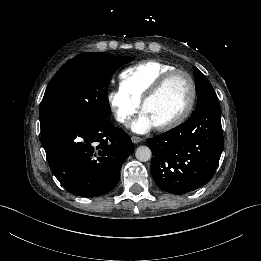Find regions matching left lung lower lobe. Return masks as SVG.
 <instances>
[{
	"label": "left lung lower lobe",
	"mask_w": 261,
	"mask_h": 261,
	"mask_svg": "<svg viewBox=\"0 0 261 261\" xmlns=\"http://www.w3.org/2000/svg\"><path fill=\"white\" fill-rule=\"evenodd\" d=\"M154 149L151 173L156 184L172 194H185L213 177L224 145L220 111L207 106L184 124L146 140Z\"/></svg>",
	"instance_id": "0a47b994"
}]
</instances>
